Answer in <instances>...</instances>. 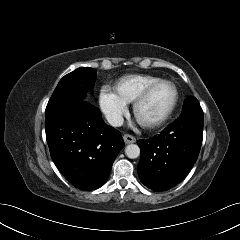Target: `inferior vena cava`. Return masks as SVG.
I'll return each mask as SVG.
<instances>
[{
    "label": "inferior vena cava",
    "instance_id": "inferior-vena-cava-1",
    "mask_svg": "<svg viewBox=\"0 0 240 240\" xmlns=\"http://www.w3.org/2000/svg\"><path fill=\"white\" fill-rule=\"evenodd\" d=\"M106 119L111 126L119 127L123 124V117L116 112L107 114Z\"/></svg>",
    "mask_w": 240,
    "mask_h": 240
}]
</instances>
